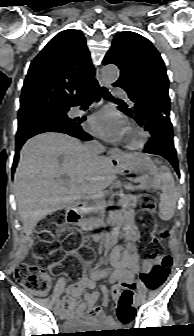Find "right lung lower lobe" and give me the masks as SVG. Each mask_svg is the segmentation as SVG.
I'll list each match as a JSON object with an SVG mask.
<instances>
[{"label":"right lung lower lobe","mask_w":194,"mask_h":336,"mask_svg":"<svg viewBox=\"0 0 194 336\" xmlns=\"http://www.w3.org/2000/svg\"><path fill=\"white\" fill-rule=\"evenodd\" d=\"M86 95L93 96L96 101L100 100L99 85L97 82L93 84V86L83 96H86ZM83 96H81L71 106L79 105V101ZM83 121H84L83 119H75L74 123L71 125L35 124V125L23 126L19 128L16 134V148H15L14 162L12 166V174L14 173L15 168L17 166L18 159H19V151L21 147L29 138L37 134L44 133V132H60V133H65L70 136L76 137L83 141L92 140V137L89 134H87L81 127V123Z\"/></svg>","instance_id":"obj_1"}]
</instances>
